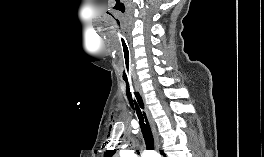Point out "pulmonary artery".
I'll use <instances>...</instances> for the list:
<instances>
[{
	"instance_id": "1",
	"label": "pulmonary artery",
	"mask_w": 264,
	"mask_h": 157,
	"mask_svg": "<svg viewBox=\"0 0 264 157\" xmlns=\"http://www.w3.org/2000/svg\"><path fill=\"white\" fill-rule=\"evenodd\" d=\"M151 154H153V153H150V152H144V154H143V156L142 157H147V156H149V155H151Z\"/></svg>"
}]
</instances>
